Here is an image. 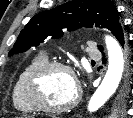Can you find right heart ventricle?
<instances>
[{
	"mask_svg": "<svg viewBox=\"0 0 133 118\" xmlns=\"http://www.w3.org/2000/svg\"><path fill=\"white\" fill-rule=\"evenodd\" d=\"M46 62H48L47 55L45 53H39L19 72L12 88V103L17 111L21 113H32L36 110L26 97L25 83L30 73Z\"/></svg>",
	"mask_w": 133,
	"mask_h": 118,
	"instance_id": "e07e8e85",
	"label": "right heart ventricle"
}]
</instances>
